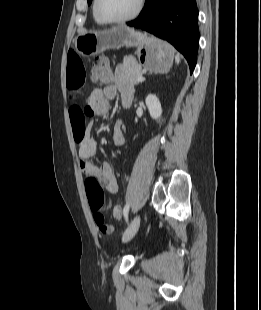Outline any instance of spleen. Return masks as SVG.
Returning <instances> with one entry per match:
<instances>
[{
    "label": "spleen",
    "instance_id": "obj_1",
    "mask_svg": "<svg viewBox=\"0 0 261 310\" xmlns=\"http://www.w3.org/2000/svg\"><path fill=\"white\" fill-rule=\"evenodd\" d=\"M175 61H176L177 64H179V62H180V56H179V54H177V55L175 56Z\"/></svg>",
    "mask_w": 261,
    "mask_h": 310
}]
</instances>
